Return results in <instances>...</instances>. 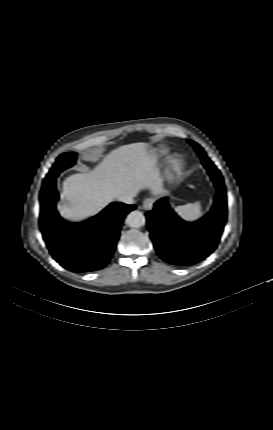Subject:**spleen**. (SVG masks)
<instances>
[{
	"label": "spleen",
	"instance_id": "spleen-1",
	"mask_svg": "<svg viewBox=\"0 0 273 430\" xmlns=\"http://www.w3.org/2000/svg\"><path fill=\"white\" fill-rule=\"evenodd\" d=\"M175 212L185 222H194L202 216L201 202L189 203L175 207Z\"/></svg>",
	"mask_w": 273,
	"mask_h": 430
}]
</instances>
